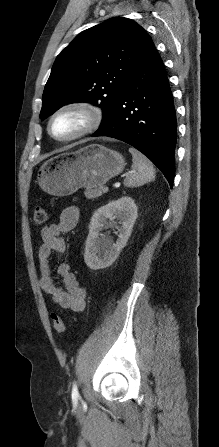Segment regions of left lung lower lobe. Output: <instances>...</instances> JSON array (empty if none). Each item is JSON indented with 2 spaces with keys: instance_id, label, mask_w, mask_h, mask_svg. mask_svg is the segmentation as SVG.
<instances>
[{
  "instance_id": "0a47b994",
  "label": "left lung lower lobe",
  "mask_w": 219,
  "mask_h": 447,
  "mask_svg": "<svg viewBox=\"0 0 219 447\" xmlns=\"http://www.w3.org/2000/svg\"><path fill=\"white\" fill-rule=\"evenodd\" d=\"M176 115L164 64L152 42L129 74L109 116L92 135L122 140L174 179Z\"/></svg>"
}]
</instances>
